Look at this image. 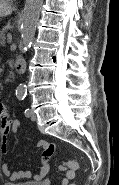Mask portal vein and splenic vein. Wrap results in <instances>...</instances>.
Here are the masks:
<instances>
[{
	"label": "portal vein and splenic vein",
	"mask_w": 119,
	"mask_h": 185,
	"mask_svg": "<svg viewBox=\"0 0 119 185\" xmlns=\"http://www.w3.org/2000/svg\"><path fill=\"white\" fill-rule=\"evenodd\" d=\"M7 38H8V41L11 42L12 41V35L10 33L7 34Z\"/></svg>",
	"instance_id": "1"
}]
</instances>
